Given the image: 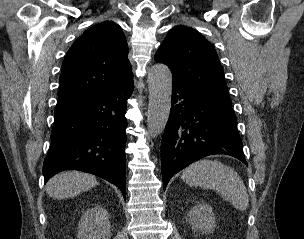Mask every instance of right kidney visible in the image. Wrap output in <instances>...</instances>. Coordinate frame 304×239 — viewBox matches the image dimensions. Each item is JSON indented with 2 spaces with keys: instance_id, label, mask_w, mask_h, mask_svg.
I'll use <instances>...</instances> for the list:
<instances>
[{
  "instance_id": "1",
  "label": "right kidney",
  "mask_w": 304,
  "mask_h": 239,
  "mask_svg": "<svg viewBox=\"0 0 304 239\" xmlns=\"http://www.w3.org/2000/svg\"><path fill=\"white\" fill-rule=\"evenodd\" d=\"M78 239H110L108 212L101 206L88 209L78 224Z\"/></svg>"
}]
</instances>
